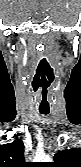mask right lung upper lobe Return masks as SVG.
<instances>
[{"instance_id":"obj_1","label":"right lung upper lobe","mask_w":81,"mask_h":167,"mask_svg":"<svg viewBox=\"0 0 81 167\" xmlns=\"http://www.w3.org/2000/svg\"><path fill=\"white\" fill-rule=\"evenodd\" d=\"M24 161V144L20 139L0 145V167H28Z\"/></svg>"}]
</instances>
